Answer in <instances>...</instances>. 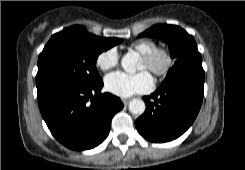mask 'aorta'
<instances>
[{"label":"aorta","instance_id":"aorta-1","mask_svg":"<svg viewBox=\"0 0 245 170\" xmlns=\"http://www.w3.org/2000/svg\"><path fill=\"white\" fill-rule=\"evenodd\" d=\"M139 61V56L135 52H128L121 59V66L124 71L128 73H135L137 69V63ZM145 103L141 99H132L129 103V110L133 114H143L145 111Z\"/></svg>","mask_w":245,"mask_h":170}]
</instances>
